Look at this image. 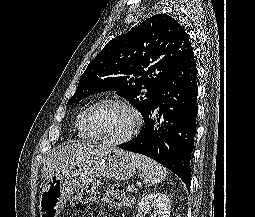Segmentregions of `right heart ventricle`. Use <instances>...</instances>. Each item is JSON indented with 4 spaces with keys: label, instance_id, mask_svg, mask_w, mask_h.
Returning a JSON list of instances; mask_svg holds the SVG:
<instances>
[{
    "label": "right heart ventricle",
    "instance_id": "e07e8e85",
    "mask_svg": "<svg viewBox=\"0 0 255 217\" xmlns=\"http://www.w3.org/2000/svg\"><path fill=\"white\" fill-rule=\"evenodd\" d=\"M86 109H83L76 117L75 126L77 128L78 136L83 139H90L92 138L84 126V114Z\"/></svg>",
    "mask_w": 255,
    "mask_h": 217
}]
</instances>
